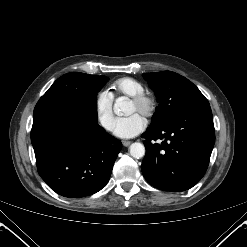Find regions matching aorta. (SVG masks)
I'll use <instances>...</instances> for the list:
<instances>
[{
    "mask_svg": "<svg viewBox=\"0 0 247 247\" xmlns=\"http://www.w3.org/2000/svg\"><path fill=\"white\" fill-rule=\"evenodd\" d=\"M127 106H128V101L125 98L120 97L116 100L114 104V112L117 115L123 114V109ZM130 155L136 159L142 158L145 155L144 145L139 142L132 143L130 146Z\"/></svg>",
    "mask_w": 247,
    "mask_h": 247,
    "instance_id": "1",
    "label": "aorta"
}]
</instances>
